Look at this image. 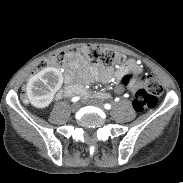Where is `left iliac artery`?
<instances>
[{
    "label": "left iliac artery",
    "instance_id": "left-iliac-artery-1",
    "mask_svg": "<svg viewBox=\"0 0 183 183\" xmlns=\"http://www.w3.org/2000/svg\"><path fill=\"white\" fill-rule=\"evenodd\" d=\"M104 108L107 109V110H109V109H111V105L108 104V103H106V104L104 105Z\"/></svg>",
    "mask_w": 183,
    "mask_h": 183
}]
</instances>
